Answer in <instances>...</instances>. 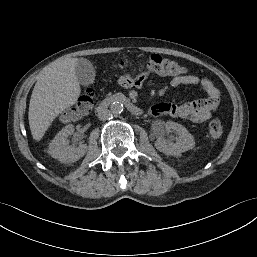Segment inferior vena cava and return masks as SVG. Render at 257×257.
<instances>
[{
    "label": "inferior vena cava",
    "instance_id": "602c4592",
    "mask_svg": "<svg viewBox=\"0 0 257 257\" xmlns=\"http://www.w3.org/2000/svg\"><path fill=\"white\" fill-rule=\"evenodd\" d=\"M97 116L100 120H107L111 117V111L106 108H99L97 111Z\"/></svg>",
    "mask_w": 257,
    "mask_h": 257
}]
</instances>
